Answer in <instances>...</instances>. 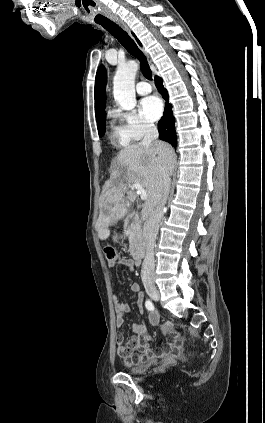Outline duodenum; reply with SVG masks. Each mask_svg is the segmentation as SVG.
I'll list each match as a JSON object with an SVG mask.
<instances>
[{"mask_svg": "<svg viewBox=\"0 0 265 423\" xmlns=\"http://www.w3.org/2000/svg\"><path fill=\"white\" fill-rule=\"evenodd\" d=\"M131 231H135L136 229V221L132 220L130 225ZM130 250L131 254L136 263H140L142 260V250L139 244V240L136 236H133L130 240Z\"/></svg>", "mask_w": 265, "mask_h": 423, "instance_id": "duodenum-1", "label": "duodenum"}]
</instances>
